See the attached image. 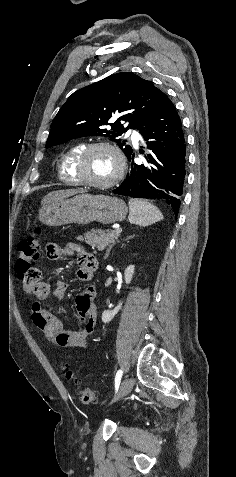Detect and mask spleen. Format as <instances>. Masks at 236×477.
<instances>
[{"label":"spleen","mask_w":236,"mask_h":477,"mask_svg":"<svg viewBox=\"0 0 236 477\" xmlns=\"http://www.w3.org/2000/svg\"><path fill=\"white\" fill-rule=\"evenodd\" d=\"M128 219L131 224L146 227L163 220V215L156 206L149 202L130 199Z\"/></svg>","instance_id":"obj_1"}]
</instances>
